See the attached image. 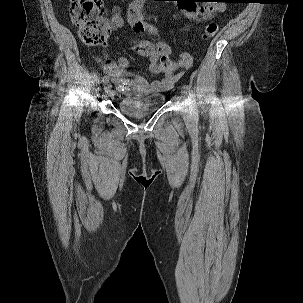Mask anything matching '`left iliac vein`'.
<instances>
[{
  "mask_svg": "<svg viewBox=\"0 0 303 303\" xmlns=\"http://www.w3.org/2000/svg\"><path fill=\"white\" fill-rule=\"evenodd\" d=\"M181 95H182V99H183V102H184V105H183L184 116L186 118H190L191 114H192V106L190 105V102L188 101V99L186 97V93H185L184 90L181 92Z\"/></svg>",
  "mask_w": 303,
  "mask_h": 303,
  "instance_id": "1",
  "label": "left iliac vein"
}]
</instances>
